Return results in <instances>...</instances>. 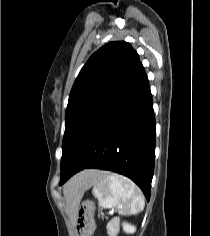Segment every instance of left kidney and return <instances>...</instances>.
I'll use <instances>...</instances> for the list:
<instances>
[{
    "label": "left kidney",
    "instance_id": "obj_1",
    "mask_svg": "<svg viewBox=\"0 0 210 236\" xmlns=\"http://www.w3.org/2000/svg\"><path fill=\"white\" fill-rule=\"evenodd\" d=\"M122 227H123L124 232L129 233V234H132L136 231V227L128 223H123Z\"/></svg>",
    "mask_w": 210,
    "mask_h": 236
}]
</instances>
